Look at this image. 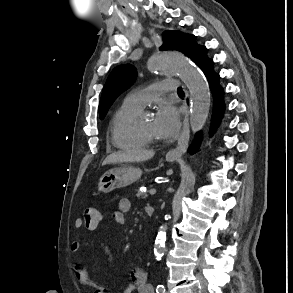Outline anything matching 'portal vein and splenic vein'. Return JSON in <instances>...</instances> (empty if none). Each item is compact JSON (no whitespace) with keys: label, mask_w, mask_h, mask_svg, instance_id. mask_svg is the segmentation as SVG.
<instances>
[{"label":"portal vein and splenic vein","mask_w":293,"mask_h":293,"mask_svg":"<svg viewBox=\"0 0 293 293\" xmlns=\"http://www.w3.org/2000/svg\"><path fill=\"white\" fill-rule=\"evenodd\" d=\"M156 192H157L156 189L153 188V189H150L149 194L154 195V194H156Z\"/></svg>","instance_id":"1"}]
</instances>
